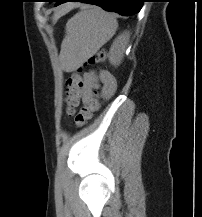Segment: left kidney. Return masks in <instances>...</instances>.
<instances>
[{
    "mask_svg": "<svg viewBox=\"0 0 202 217\" xmlns=\"http://www.w3.org/2000/svg\"><path fill=\"white\" fill-rule=\"evenodd\" d=\"M122 41V37H120L113 43L109 51V62L115 67L120 65L124 57L125 45H123Z\"/></svg>",
    "mask_w": 202,
    "mask_h": 217,
    "instance_id": "left-kidney-1",
    "label": "left kidney"
}]
</instances>
